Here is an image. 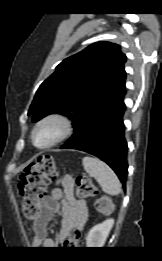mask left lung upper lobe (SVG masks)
Returning a JSON list of instances; mask_svg holds the SVG:
<instances>
[{
  "mask_svg": "<svg viewBox=\"0 0 162 261\" xmlns=\"http://www.w3.org/2000/svg\"><path fill=\"white\" fill-rule=\"evenodd\" d=\"M126 56L120 46L97 42L66 58L39 87L28 115L37 122L59 113L76 131L96 110L125 88Z\"/></svg>",
  "mask_w": 162,
  "mask_h": 261,
  "instance_id": "obj_1",
  "label": "left lung upper lobe"
}]
</instances>
